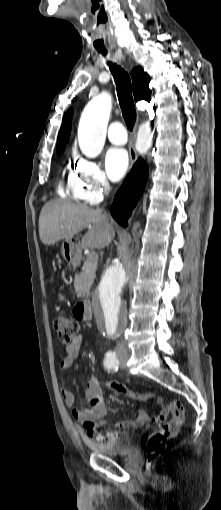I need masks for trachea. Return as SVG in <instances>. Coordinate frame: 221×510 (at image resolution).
I'll return each instance as SVG.
<instances>
[{"label": "trachea", "instance_id": "1", "mask_svg": "<svg viewBox=\"0 0 221 510\" xmlns=\"http://www.w3.org/2000/svg\"><path fill=\"white\" fill-rule=\"evenodd\" d=\"M104 56L107 52L100 51ZM110 71L114 77L119 104L127 128L132 131L136 121V110L132 97V85L128 73L115 63L108 62Z\"/></svg>", "mask_w": 221, "mask_h": 510}]
</instances>
